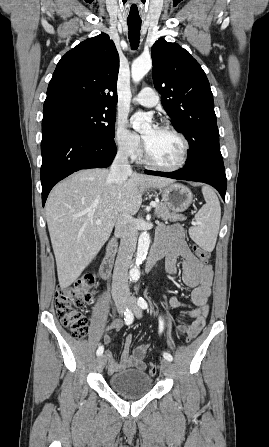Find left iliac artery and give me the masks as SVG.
Segmentation results:
<instances>
[{
    "label": "left iliac artery",
    "mask_w": 269,
    "mask_h": 447,
    "mask_svg": "<svg viewBox=\"0 0 269 447\" xmlns=\"http://www.w3.org/2000/svg\"><path fill=\"white\" fill-rule=\"evenodd\" d=\"M138 305L142 308V309H146L147 307H148V304H147V302L145 301V299L144 298H142V297H139L138 298ZM163 329H164V321H163V319H162V317L160 316L159 317V332L161 333L162 331H163ZM163 357L165 358V359H167L168 361H172L173 360V357L171 356V354H169V353H163Z\"/></svg>",
    "instance_id": "1"
}]
</instances>
